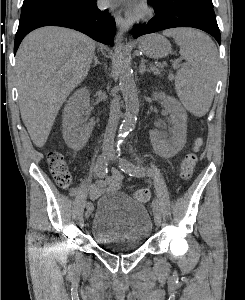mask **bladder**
<instances>
[{
	"label": "bladder",
	"instance_id": "31cf9c89",
	"mask_svg": "<svg viewBox=\"0 0 245 300\" xmlns=\"http://www.w3.org/2000/svg\"><path fill=\"white\" fill-rule=\"evenodd\" d=\"M152 231L146 208L120 191L107 192L98 200L89 228L97 244L119 252L141 248Z\"/></svg>",
	"mask_w": 245,
	"mask_h": 300
}]
</instances>
